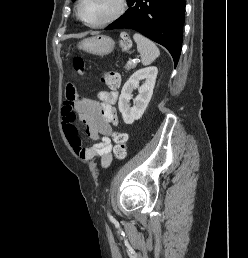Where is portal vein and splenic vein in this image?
I'll return each mask as SVG.
<instances>
[{"label": "portal vein and splenic vein", "mask_w": 248, "mask_h": 258, "mask_svg": "<svg viewBox=\"0 0 248 258\" xmlns=\"http://www.w3.org/2000/svg\"><path fill=\"white\" fill-rule=\"evenodd\" d=\"M132 62H134V60H129V61H128V63H132Z\"/></svg>", "instance_id": "1"}]
</instances>
